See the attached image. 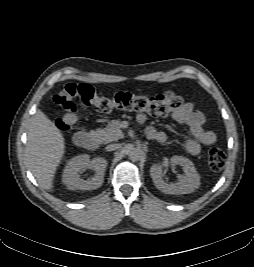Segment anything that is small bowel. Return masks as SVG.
Segmentation results:
<instances>
[{
	"instance_id": "c3829d8e",
	"label": "small bowel",
	"mask_w": 254,
	"mask_h": 267,
	"mask_svg": "<svg viewBox=\"0 0 254 267\" xmlns=\"http://www.w3.org/2000/svg\"><path fill=\"white\" fill-rule=\"evenodd\" d=\"M172 117L176 122L189 129L190 137L185 140V148L189 154L198 155L202 145H211L216 141L215 133L204 128L205 117L203 113L192 102L184 103L172 114ZM140 120H144V117L140 116ZM146 135L159 143L168 141V135L154 127H148Z\"/></svg>"
}]
</instances>
